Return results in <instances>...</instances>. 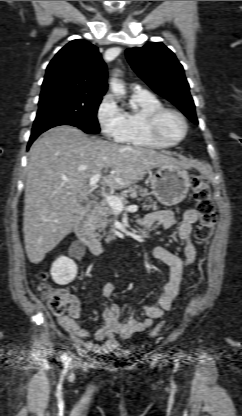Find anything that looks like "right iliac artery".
Masks as SVG:
<instances>
[{
    "instance_id": "82829eb1",
    "label": "right iliac artery",
    "mask_w": 242,
    "mask_h": 416,
    "mask_svg": "<svg viewBox=\"0 0 242 416\" xmlns=\"http://www.w3.org/2000/svg\"><path fill=\"white\" fill-rule=\"evenodd\" d=\"M62 362H63L65 365H67V364H68V356H67V353H65V354L62 356Z\"/></svg>"
}]
</instances>
